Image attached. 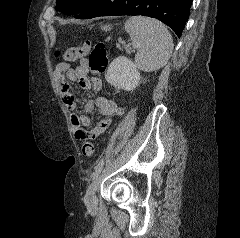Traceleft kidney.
<instances>
[{
  "label": "left kidney",
  "instance_id": "5707ae66",
  "mask_svg": "<svg viewBox=\"0 0 240 238\" xmlns=\"http://www.w3.org/2000/svg\"><path fill=\"white\" fill-rule=\"evenodd\" d=\"M105 78L118 90L132 91L139 83L140 73L130 59L119 56L109 65Z\"/></svg>",
  "mask_w": 240,
  "mask_h": 238
}]
</instances>
